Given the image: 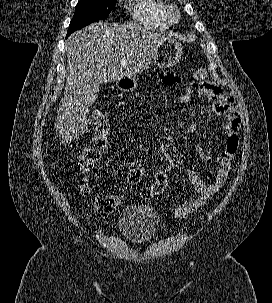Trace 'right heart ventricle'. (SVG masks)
I'll use <instances>...</instances> for the list:
<instances>
[{"label":"right heart ventricle","instance_id":"obj_1","mask_svg":"<svg viewBox=\"0 0 272 303\" xmlns=\"http://www.w3.org/2000/svg\"><path fill=\"white\" fill-rule=\"evenodd\" d=\"M167 7L162 0H134L132 17L140 25L165 29L170 25Z\"/></svg>","mask_w":272,"mask_h":303}]
</instances>
